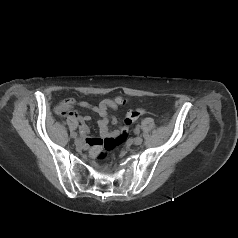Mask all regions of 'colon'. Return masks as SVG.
Listing matches in <instances>:
<instances>
[{"label": "colon", "mask_w": 238, "mask_h": 238, "mask_svg": "<svg viewBox=\"0 0 238 238\" xmlns=\"http://www.w3.org/2000/svg\"><path fill=\"white\" fill-rule=\"evenodd\" d=\"M142 113L143 110L141 109L127 111L125 113V119L122 121L123 125L120 131L121 134L116 137L105 138L97 141L91 149L92 156L101 158L107 151L113 150L119 146L125 140L127 134H129L132 122H134Z\"/></svg>", "instance_id": "colon-1"}]
</instances>
